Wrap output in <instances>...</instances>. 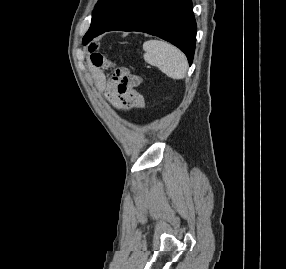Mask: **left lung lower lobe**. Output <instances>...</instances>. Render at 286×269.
<instances>
[{
    "label": "left lung lower lobe",
    "instance_id": "left-lung-lower-lobe-1",
    "mask_svg": "<svg viewBox=\"0 0 286 269\" xmlns=\"http://www.w3.org/2000/svg\"><path fill=\"white\" fill-rule=\"evenodd\" d=\"M139 31L158 36L182 50L191 65L196 42V22L191 0H143L115 24L98 32Z\"/></svg>",
    "mask_w": 286,
    "mask_h": 269
}]
</instances>
